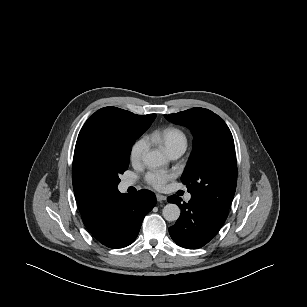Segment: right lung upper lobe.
I'll list each match as a JSON object with an SVG mask.
<instances>
[{"label": "right lung upper lobe", "instance_id": "obj_1", "mask_svg": "<svg viewBox=\"0 0 307 307\" xmlns=\"http://www.w3.org/2000/svg\"><path fill=\"white\" fill-rule=\"evenodd\" d=\"M107 116L133 119L150 125L156 117L155 114L136 115L120 108L104 107L95 112L85 122L78 135L75 146L72 166V182L76 202L87 229L92 228L96 224L109 201L119 192L118 190H104L91 185L87 180L81 159V146L85 133L97 120Z\"/></svg>", "mask_w": 307, "mask_h": 307}]
</instances>
